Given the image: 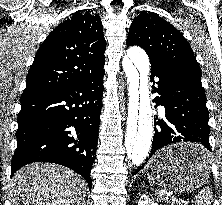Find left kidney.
<instances>
[{"mask_svg":"<svg viewBox=\"0 0 222 205\" xmlns=\"http://www.w3.org/2000/svg\"><path fill=\"white\" fill-rule=\"evenodd\" d=\"M138 205H158V204L153 202L146 194H143L138 201Z\"/></svg>","mask_w":222,"mask_h":205,"instance_id":"5707ae66","label":"left kidney"}]
</instances>
